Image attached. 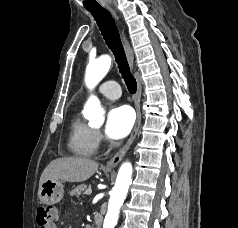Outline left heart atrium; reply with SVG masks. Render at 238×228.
I'll return each instance as SVG.
<instances>
[{"label":"left heart atrium","instance_id":"obj_1","mask_svg":"<svg viewBox=\"0 0 238 228\" xmlns=\"http://www.w3.org/2000/svg\"><path fill=\"white\" fill-rule=\"evenodd\" d=\"M134 120V112L129 106L119 105L112 107L107 113L106 136L113 140L123 139L131 131Z\"/></svg>","mask_w":238,"mask_h":228}]
</instances>
